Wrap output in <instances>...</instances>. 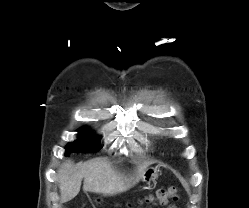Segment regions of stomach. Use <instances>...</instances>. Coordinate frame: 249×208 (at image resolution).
<instances>
[{"instance_id":"obj_1","label":"stomach","mask_w":249,"mask_h":208,"mask_svg":"<svg viewBox=\"0 0 249 208\" xmlns=\"http://www.w3.org/2000/svg\"><path fill=\"white\" fill-rule=\"evenodd\" d=\"M158 172L159 170L157 167H148L141 174V180L147 184H150L151 181L158 177Z\"/></svg>"}]
</instances>
